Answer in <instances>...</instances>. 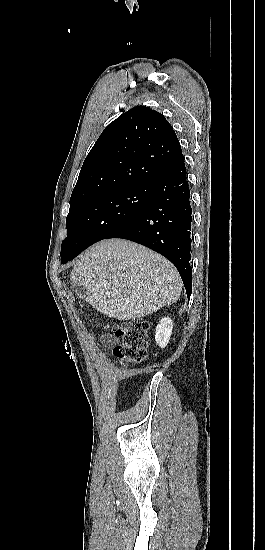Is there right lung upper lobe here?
<instances>
[{"mask_svg": "<svg viewBox=\"0 0 265 550\" xmlns=\"http://www.w3.org/2000/svg\"><path fill=\"white\" fill-rule=\"evenodd\" d=\"M182 158L165 117L146 106L134 107L110 123L90 150L70 204L125 188L155 186Z\"/></svg>", "mask_w": 265, "mask_h": 550, "instance_id": "obj_1", "label": "right lung upper lobe"}]
</instances>
